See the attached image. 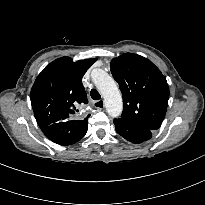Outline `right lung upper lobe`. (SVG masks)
Returning <instances> with one entry per match:
<instances>
[{"mask_svg": "<svg viewBox=\"0 0 205 205\" xmlns=\"http://www.w3.org/2000/svg\"><path fill=\"white\" fill-rule=\"evenodd\" d=\"M96 58L73 62L62 57L48 64L31 89V104L41 130L55 125L57 134L71 143L79 141L87 131L88 117L73 120L78 105L88 103L82 77Z\"/></svg>", "mask_w": 205, "mask_h": 205, "instance_id": "1", "label": "right lung upper lobe"}]
</instances>
